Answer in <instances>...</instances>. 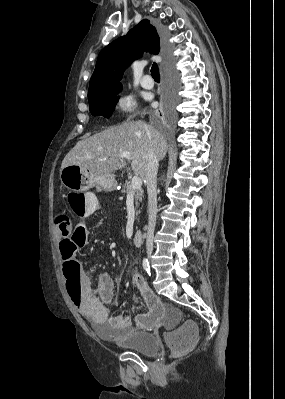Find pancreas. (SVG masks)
I'll list each match as a JSON object with an SVG mask.
<instances>
[{
	"mask_svg": "<svg viewBox=\"0 0 285 399\" xmlns=\"http://www.w3.org/2000/svg\"><path fill=\"white\" fill-rule=\"evenodd\" d=\"M123 193H133L134 197H135V205L138 208L139 207V203L142 202L143 199V189L139 188V189H135L133 190L131 187V183L129 181H126L123 185V189H122ZM136 214H139V211L137 210Z\"/></svg>",
	"mask_w": 285,
	"mask_h": 399,
	"instance_id": "pancreas-1",
	"label": "pancreas"
}]
</instances>
